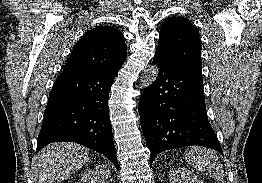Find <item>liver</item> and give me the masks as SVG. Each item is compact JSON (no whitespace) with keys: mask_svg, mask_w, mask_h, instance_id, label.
Wrapping results in <instances>:
<instances>
[{"mask_svg":"<svg viewBox=\"0 0 262 183\" xmlns=\"http://www.w3.org/2000/svg\"><path fill=\"white\" fill-rule=\"evenodd\" d=\"M89 160V150L71 142L52 143L43 148L33 162L35 183H59Z\"/></svg>","mask_w":262,"mask_h":183,"instance_id":"6515ba94","label":"liver"}]
</instances>
